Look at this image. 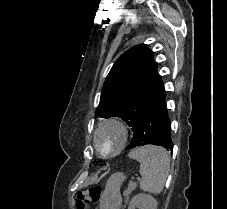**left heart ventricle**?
I'll return each mask as SVG.
<instances>
[{
  "instance_id": "obj_1",
  "label": "left heart ventricle",
  "mask_w": 227,
  "mask_h": 209,
  "mask_svg": "<svg viewBox=\"0 0 227 209\" xmlns=\"http://www.w3.org/2000/svg\"><path fill=\"white\" fill-rule=\"evenodd\" d=\"M121 134L117 127L107 125L103 127L96 136V144L102 153L114 150L120 142Z\"/></svg>"
}]
</instances>
